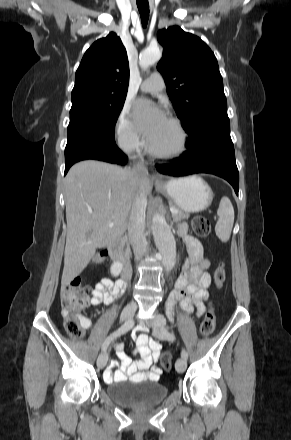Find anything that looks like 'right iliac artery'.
Listing matches in <instances>:
<instances>
[{
	"label": "right iliac artery",
	"mask_w": 291,
	"mask_h": 440,
	"mask_svg": "<svg viewBox=\"0 0 291 440\" xmlns=\"http://www.w3.org/2000/svg\"><path fill=\"white\" fill-rule=\"evenodd\" d=\"M132 326H133V320L132 319L127 320L118 330H116L114 333H112L110 336H108L106 338V340L104 341V343L102 345V350L106 351L109 344L111 343V341L114 338H117V337L121 336L122 334L126 333L129 329L132 328Z\"/></svg>",
	"instance_id": "82829eb1"
}]
</instances>
